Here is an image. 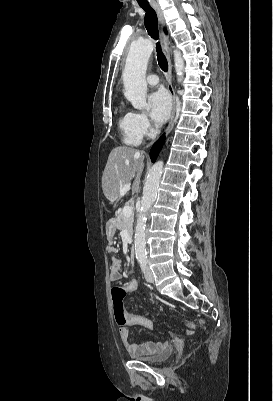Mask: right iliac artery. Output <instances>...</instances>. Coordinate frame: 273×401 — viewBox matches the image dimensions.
<instances>
[{
  "mask_svg": "<svg viewBox=\"0 0 273 401\" xmlns=\"http://www.w3.org/2000/svg\"><path fill=\"white\" fill-rule=\"evenodd\" d=\"M142 258H139L138 261L141 262Z\"/></svg>",
  "mask_w": 273,
  "mask_h": 401,
  "instance_id": "right-iliac-artery-1",
  "label": "right iliac artery"
}]
</instances>
